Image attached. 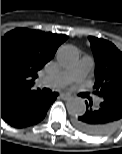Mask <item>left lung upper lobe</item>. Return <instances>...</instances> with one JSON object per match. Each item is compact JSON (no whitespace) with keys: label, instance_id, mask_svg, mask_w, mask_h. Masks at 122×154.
Listing matches in <instances>:
<instances>
[{"label":"left lung upper lobe","instance_id":"5c2ea615","mask_svg":"<svg viewBox=\"0 0 122 154\" xmlns=\"http://www.w3.org/2000/svg\"><path fill=\"white\" fill-rule=\"evenodd\" d=\"M96 63L94 93L100 98L122 91V52L111 42L89 37Z\"/></svg>","mask_w":122,"mask_h":154}]
</instances>
